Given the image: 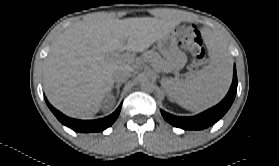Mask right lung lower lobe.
I'll return each instance as SVG.
<instances>
[{"instance_id":"right-lung-lower-lobe-1","label":"right lung lower lobe","mask_w":279,"mask_h":166,"mask_svg":"<svg viewBox=\"0 0 279 166\" xmlns=\"http://www.w3.org/2000/svg\"><path fill=\"white\" fill-rule=\"evenodd\" d=\"M46 102L50 110L53 112V114L58 118V120L62 124L71 128L74 131L85 132V133L105 130L115 122V120L117 119L121 111V105H120L114 113H112L110 116H107L105 118H101L97 120H77L63 115L61 112L53 108L48 103L47 100Z\"/></svg>"}]
</instances>
